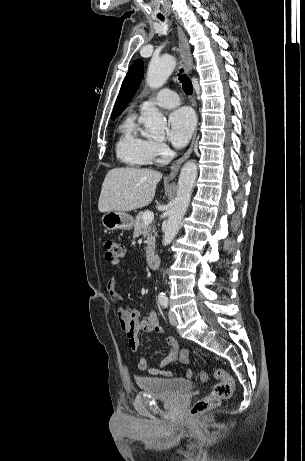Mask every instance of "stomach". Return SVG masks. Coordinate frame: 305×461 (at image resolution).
Instances as JSON below:
<instances>
[{"label": "stomach", "mask_w": 305, "mask_h": 461, "mask_svg": "<svg viewBox=\"0 0 305 461\" xmlns=\"http://www.w3.org/2000/svg\"><path fill=\"white\" fill-rule=\"evenodd\" d=\"M103 226L108 230H131L134 225L133 217L126 212L109 211L101 218Z\"/></svg>", "instance_id": "obj_1"}]
</instances>
